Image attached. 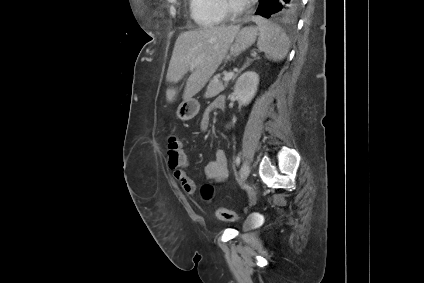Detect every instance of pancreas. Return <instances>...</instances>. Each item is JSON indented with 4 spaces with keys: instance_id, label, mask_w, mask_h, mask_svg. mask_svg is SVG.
Instances as JSON below:
<instances>
[{
    "instance_id": "pancreas-1",
    "label": "pancreas",
    "mask_w": 424,
    "mask_h": 283,
    "mask_svg": "<svg viewBox=\"0 0 424 283\" xmlns=\"http://www.w3.org/2000/svg\"><path fill=\"white\" fill-rule=\"evenodd\" d=\"M218 78V76H215L207 86V90L205 93V97L207 99L217 96L219 93L224 91L225 87L227 86L226 83L223 85Z\"/></svg>"
}]
</instances>
